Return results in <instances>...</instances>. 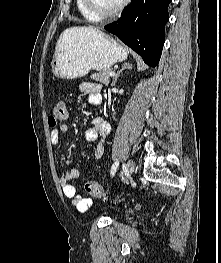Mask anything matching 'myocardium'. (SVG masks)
Returning a JSON list of instances; mask_svg holds the SVG:
<instances>
[{
    "mask_svg": "<svg viewBox=\"0 0 221 263\" xmlns=\"http://www.w3.org/2000/svg\"><path fill=\"white\" fill-rule=\"evenodd\" d=\"M129 0H122L121 3L113 10L110 11H100L94 4L92 0H83L84 6L89 13H91L96 19L112 18L118 15L124 7L127 5Z\"/></svg>",
    "mask_w": 221,
    "mask_h": 263,
    "instance_id": "myocardium-1",
    "label": "myocardium"
}]
</instances>
